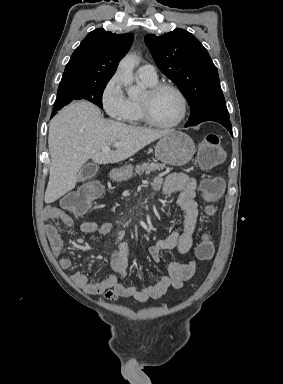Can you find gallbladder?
I'll return each instance as SVG.
<instances>
[{
	"instance_id": "gallbladder-1",
	"label": "gallbladder",
	"mask_w": 283,
	"mask_h": 384,
	"mask_svg": "<svg viewBox=\"0 0 283 384\" xmlns=\"http://www.w3.org/2000/svg\"><path fill=\"white\" fill-rule=\"evenodd\" d=\"M97 175L98 172L95 165H86V168H82L79 172V180L84 182V180H87L88 177H97Z\"/></svg>"
}]
</instances>
